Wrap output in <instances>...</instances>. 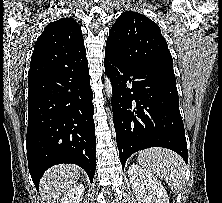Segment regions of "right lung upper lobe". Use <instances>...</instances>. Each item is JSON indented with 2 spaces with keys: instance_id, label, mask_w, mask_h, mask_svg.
I'll list each match as a JSON object with an SVG mask.
<instances>
[{
  "instance_id": "1",
  "label": "right lung upper lobe",
  "mask_w": 222,
  "mask_h": 203,
  "mask_svg": "<svg viewBox=\"0 0 222 203\" xmlns=\"http://www.w3.org/2000/svg\"><path fill=\"white\" fill-rule=\"evenodd\" d=\"M88 64L81 28L72 18L49 23L37 39L28 78L56 69Z\"/></svg>"
}]
</instances>
